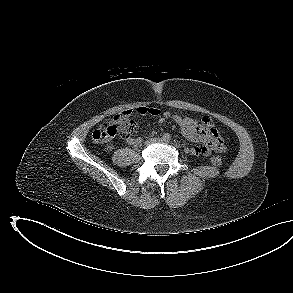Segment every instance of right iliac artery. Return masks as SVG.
<instances>
[{
	"mask_svg": "<svg viewBox=\"0 0 293 293\" xmlns=\"http://www.w3.org/2000/svg\"><path fill=\"white\" fill-rule=\"evenodd\" d=\"M162 139H163V140H166V141H169V140L171 139V136H170V134L165 133V134L163 135Z\"/></svg>",
	"mask_w": 293,
	"mask_h": 293,
	"instance_id": "1",
	"label": "right iliac artery"
}]
</instances>
